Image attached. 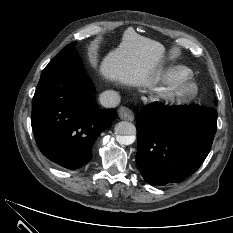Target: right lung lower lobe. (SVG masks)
Instances as JSON below:
<instances>
[{
    "instance_id": "98d812e1",
    "label": "right lung lower lobe",
    "mask_w": 233,
    "mask_h": 233,
    "mask_svg": "<svg viewBox=\"0 0 233 233\" xmlns=\"http://www.w3.org/2000/svg\"><path fill=\"white\" fill-rule=\"evenodd\" d=\"M95 88L77 52L59 53L44 68L32 102L31 124L45 157L77 169L92 158V146L116 111L100 110Z\"/></svg>"
}]
</instances>
